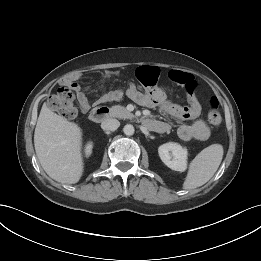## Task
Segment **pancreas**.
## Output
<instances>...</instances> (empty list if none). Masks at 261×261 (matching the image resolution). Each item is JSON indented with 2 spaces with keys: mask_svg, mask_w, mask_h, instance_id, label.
<instances>
[{
  "mask_svg": "<svg viewBox=\"0 0 261 261\" xmlns=\"http://www.w3.org/2000/svg\"><path fill=\"white\" fill-rule=\"evenodd\" d=\"M111 115L117 118L132 119L134 115L130 113L124 106L115 105L111 108Z\"/></svg>",
  "mask_w": 261,
  "mask_h": 261,
  "instance_id": "pancreas-1",
  "label": "pancreas"
}]
</instances>
